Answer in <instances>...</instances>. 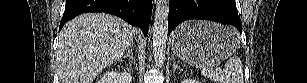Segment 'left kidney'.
Here are the masks:
<instances>
[{"label": "left kidney", "instance_id": "left-kidney-1", "mask_svg": "<svg viewBox=\"0 0 307 83\" xmlns=\"http://www.w3.org/2000/svg\"><path fill=\"white\" fill-rule=\"evenodd\" d=\"M182 83H200V82L191 78H186L182 81Z\"/></svg>", "mask_w": 307, "mask_h": 83}]
</instances>
